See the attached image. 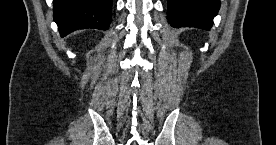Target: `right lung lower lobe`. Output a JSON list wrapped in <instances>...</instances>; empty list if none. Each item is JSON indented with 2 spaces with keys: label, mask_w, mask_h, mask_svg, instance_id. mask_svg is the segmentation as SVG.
Listing matches in <instances>:
<instances>
[{
  "label": "right lung lower lobe",
  "mask_w": 276,
  "mask_h": 145,
  "mask_svg": "<svg viewBox=\"0 0 276 145\" xmlns=\"http://www.w3.org/2000/svg\"><path fill=\"white\" fill-rule=\"evenodd\" d=\"M53 17L62 37L86 28L107 30L112 0H53Z\"/></svg>",
  "instance_id": "right-lung-lower-lobe-1"
}]
</instances>
